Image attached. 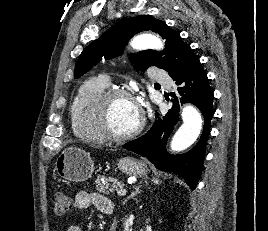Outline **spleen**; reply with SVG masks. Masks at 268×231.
Wrapping results in <instances>:
<instances>
[{"mask_svg": "<svg viewBox=\"0 0 268 231\" xmlns=\"http://www.w3.org/2000/svg\"><path fill=\"white\" fill-rule=\"evenodd\" d=\"M155 184H158V180L154 179L152 180Z\"/></svg>", "mask_w": 268, "mask_h": 231, "instance_id": "1", "label": "spleen"}]
</instances>
